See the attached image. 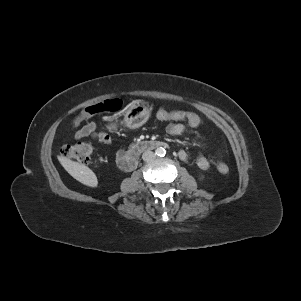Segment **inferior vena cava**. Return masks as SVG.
<instances>
[{"label":"inferior vena cava","instance_id":"1","mask_svg":"<svg viewBox=\"0 0 301 301\" xmlns=\"http://www.w3.org/2000/svg\"><path fill=\"white\" fill-rule=\"evenodd\" d=\"M142 159L146 162H150L155 159V154L152 151H145L142 155Z\"/></svg>","mask_w":301,"mask_h":301}]
</instances>
